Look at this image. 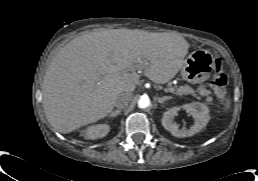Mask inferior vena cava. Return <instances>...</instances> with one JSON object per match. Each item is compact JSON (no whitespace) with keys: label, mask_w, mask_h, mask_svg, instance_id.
I'll list each match as a JSON object with an SVG mask.
<instances>
[{"label":"inferior vena cava","mask_w":258,"mask_h":181,"mask_svg":"<svg viewBox=\"0 0 258 181\" xmlns=\"http://www.w3.org/2000/svg\"><path fill=\"white\" fill-rule=\"evenodd\" d=\"M132 98V94L131 93H122L120 94L116 101H115V106L118 108V109H123L125 108L128 103L130 102Z\"/></svg>","instance_id":"602c4592"}]
</instances>
